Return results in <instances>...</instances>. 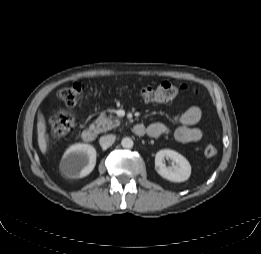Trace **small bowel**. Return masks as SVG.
I'll list each match as a JSON object with an SVG mask.
<instances>
[{"mask_svg":"<svg viewBox=\"0 0 261 254\" xmlns=\"http://www.w3.org/2000/svg\"><path fill=\"white\" fill-rule=\"evenodd\" d=\"M201 109L197 106H192L175 118L177 126L170 128L162 123H153L148 126L137 124L142 127L141 135L147 134L149 137H160L163 135H171L176 140L182 143L198 142L203 138V132L194 127L201 119ZM135 131V129H134Z\"/></svg>","mask_w":261,"mask_h":254,"instance_id":"small-bowel-1","label":"small bowel"}]
</instances>
